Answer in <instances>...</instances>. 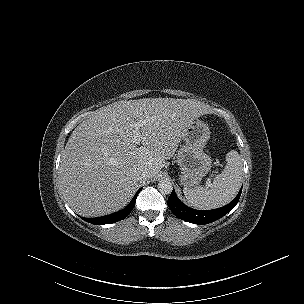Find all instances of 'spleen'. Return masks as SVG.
<instances>
[{"label": "spleen", "instance_id": "1", "mask_svg": "<svg viewBox=\"0 0 304 304\" xmlns=\"http://www.w3.org/2000/svg\"><path fill=\"white\" fill-rule=\"evenodd\" d=\"M226 166L222 173L205 186L194 189L184 187L183 193L189 204L199 209H214L229 203L238 193L243 178V163L238 152L226 154Z\"/></svg>", "mask_w": 304, "mask_h": 304}]
</instances>
